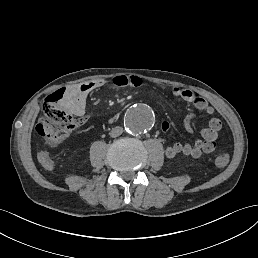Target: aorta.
<instances>
[{
  "label": "aorta",
  "mask_w": 258,
  "mask_h": 258,
  "mask_svg": "<svg viewBox=\"0 0 258 258\" xmlns=\"http://www.w3.org/2000/svg\"><path fill=\"white\" fill-rule=\"evenodd\" d=\"M155 122V117L150 107L140 104L129 109L125 115L126 131L138 135L150 129Z\"/></svg>",
  "instance_id": "1"
}]
</instances>
